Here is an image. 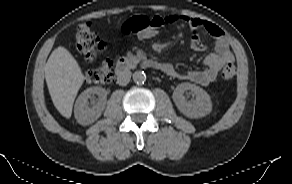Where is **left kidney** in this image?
<instances>
[{
	"label": "left kidney",
	"instance_id": "left-kidney-1",
	"mask_svg": "<svg viewBox=\"0 0 292 184\" xmlns=\"http://www.w3.org/2000/svg\"><path fill=\"white\" fill-rule=\"evenodd\" d=\"M187 90L193 93L195 96L194 100H186L183 94ZM172 98L180 112L189 118L204 117L212 111V102L209 94L195 84L188 82L179 84L174 90Z\"/></svg>",
	"mask_w": 292,
	"mask_h": 184
}]
</instances>
